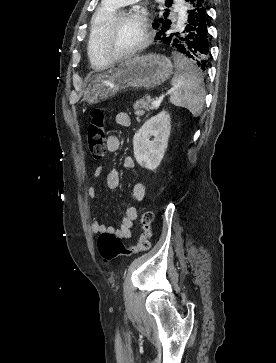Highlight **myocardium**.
I'll return each instance as SVG.
<instances>
[{"mask_svg":"<svg viewBox=\"0 0 276 363\" xmlns=\"http://www.w3.org/2000/svg\"><path fill=\"white\" fill-rule=\"evenodd\" d=\"M124 20H134L140 23L143 29V36L141 41L134 48L122 54L113 55L109 52L108 48L105 45V38L108 33H110L114 29V27H116L120 22ZM151 36L152 33L149 21L145 14L132 10H123L115 13V15L107 22V24L101 30L99 37V46L102 54L109 62H117L133 57L142 52L150 43Z\"/></svg>","mask_w":276,"mask_h":363,"instance_id":"obj_1","label":"myocardium"}]
</instances>
